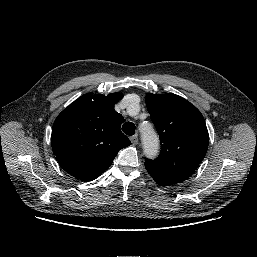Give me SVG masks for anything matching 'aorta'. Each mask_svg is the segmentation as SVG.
I'll return each mask as SVG.
<instances>
[{
  "label": "aorta",
  "mask_w": 257,
  "mask_h": 257,
  "mask_svg": "<svg viewBox=\"0 0 257 257\" xmlns=\"http://www.w3.org/2000/svg\"><path fill=\"white\" fill-rule=\"evenodd\" d=\"M143 152L148 158H154L159 151V140L152 129L142 133Z\"/></svg>",
  "instance_id": "aorta-1"
}]
</instances>
